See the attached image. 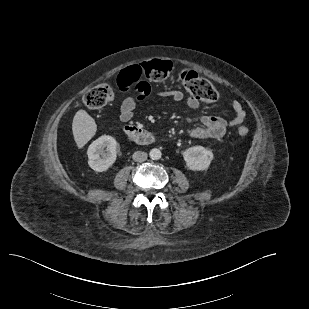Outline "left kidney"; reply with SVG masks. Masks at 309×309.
<instances>
[{
    "instance_id": "1",
    "label": "left kidney",
    "mask_w": 309,
    "mask_h": 309,
    "mask_svg": "<svg viewBox=\"0 0 309 309\" xmlns=\"http://www.w3.org/2000/svg\"><path fill=\"white\" fill-rule=\"evenodd\" d=\"M183 158L188 169L203 171L208 169L213 159V153L202 146H193L183 152Z\"/></svg>"
}]
</instances>
